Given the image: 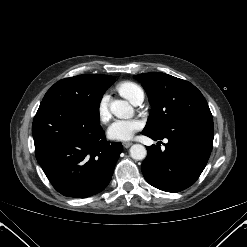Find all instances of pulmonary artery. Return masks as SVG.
<instances>
[{
	"label": "pulmonary artery",
	"instance_id": "pulmonary-artery-1",
	"mask_svg": "<svg viewBox=\"0 0 247 247\" xmlns=\"http://www.w3.org/2000/svg\"><path fill=\"white\" fill-rule=\"evenodd\" d=\"M143 100H144V95L142 94L133 102V104L140 105L143 102Z\"/></svg>",
	"mask_w": 247,
	"mask_h": 247
}]
</instances>
